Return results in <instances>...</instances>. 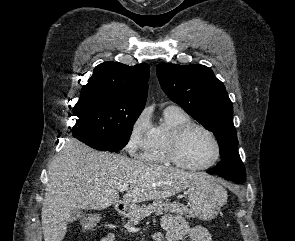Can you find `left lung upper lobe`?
Masks as SVG:
<instances>
[{
  "instance_id": "obj_1",
  "label": "left lung upper lobe",
  "mask_w": 295,
  "mask_h": 241,
  "mask_svg": "<svg viewBox=\"0 0 295 241\" xmlns=\"http://www.w3.org/2000/svg\"><path fill=\"white\" fill-rule=\"evenodd\" d=\"M156 71L168 97L214 133L222 161L211 172L233 182H245L246 171L233 124V105L223 83L210 68L199 64L161 63Z\"/></svg>"
}]
</instances>
